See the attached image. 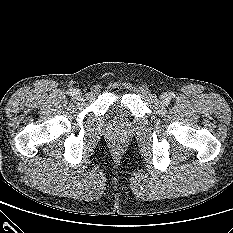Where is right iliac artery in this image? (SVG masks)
<instances>
[{"label":"right iliac artery","mask_w":233,"mask_h":233,"mask_svg":"<svg viewBox=\"0 0 233 233\" xmlns=\"http://www.w3.org/2000/svg\"><path fill=\"white\" fill-rule=\"evenodd\" d=\"M67 94L72 95V90L71 89L67 90Z\"/></svg>","instance_id":"right-iliac-artery-1"}]
</instances>
